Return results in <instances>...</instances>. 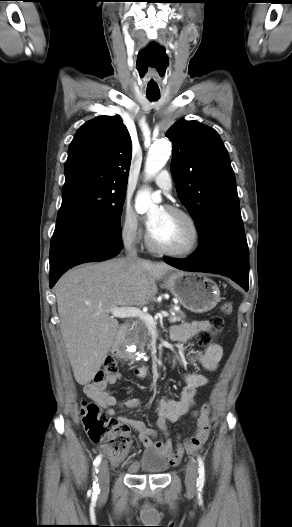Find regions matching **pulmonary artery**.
<instances>
[{"instance_id": "e3ab8cb5", "label": "pulmonary artery", "mask_w": 292, "mask_h": 527, "mask_svg": "<svg viewBox=\"0 0 292 527\" xmlns=\"http://www.w3.org/2000/svg\"><path fill=\"white\" fill-rule=\"evenodd\" d=\"M155 184L162 190L169 192L172 189V179L168 171L163 170L154 177Z\"/></svg>"}]
</instances>
